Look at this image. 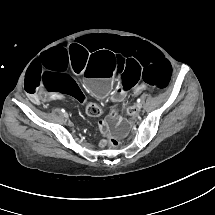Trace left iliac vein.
Returning <instances> with one entry per match:
<instances>
[{"mask_svg":"<svg viewBox=\"0 0 215 215\" xmlns=\"http://www.w3.org/2000/svg\"><path fill=\"white\" fill-rule=\"evenodd\" d=\"M137 108H138V110H140L141 106L137 104Z\"/></svg>","mask_w":215,"mask_h":215,"instance_id":"4c4485c4","label":"left iliac vein"}]
</instances>
